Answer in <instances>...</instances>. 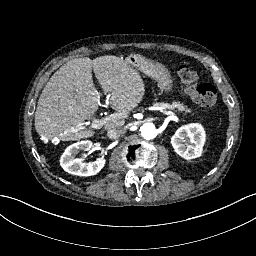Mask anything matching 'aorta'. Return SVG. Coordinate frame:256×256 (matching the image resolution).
I'll list each match as a JSON object with an SVG mask.
<instances>
[{
	"label": "aorta",
	"instance_id": "762f6f07",
	"mask_svg": "<svg viewBox=\"0 0 256 256\" xmlns=\"http://www.w3.org/2000/svg\"><path fill=\"white\" fill-rule=\"evenodd\" d=\"M140 130L142 137L146 140H151L157 135V126L153 122H146Z\"/></svg>",
	"mask_w": 256,
	"mask_h": 256
}]
</instances>
